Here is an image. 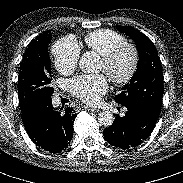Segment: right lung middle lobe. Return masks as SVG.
<instances>
[{
	"label": "right lung middle lobe",
	"mask_w": 183,
	"mask_h": 183,
	"mask_svg": "<svg viewBox=\"0 0 183 183\" xmlns=\"http://www.w3.org/2000/svg\"><path fill=\"white\" fill-rule=\"evenodd\" d=\"M51 39L52 34L46 35L22 59L18 75L20 108L32 100L49 99L54 92L50 85L51 61L48 53V43Z\"/></svg>",
	"instance_id": "1"
}]
</instances>
